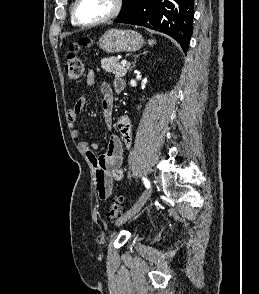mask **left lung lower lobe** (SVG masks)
Here are the masks:
<instances>
[{
  "label": "left lung lower lobe",
  "mask_w": 259,
  "mask_h": 294,
  "mask_svg": "<svg viewBox=\"0 0 259 294\" xmlns=\"http://www.w3.org/2000/svg\"><path fill=\"white\" fill-rule=\"evenodd\" d=\"M133 8L114 22L145 26L166 33L187 51L192 30L194 0H134Z\"/></svg>",
  "instance_id": "1"
}]
</instances>
